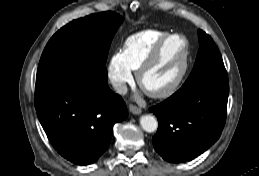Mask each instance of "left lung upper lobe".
Segmentation results:
<instances>
[{
	"label": "left lung upper lobe",
	"mask_w": 259,
	"mask_h": 176,
	"mask_svg": "<svg viewBox=\"0 0 259 176\" xmlns=\"http://www.w3.org/2000/svg\"><path fill=\"white\" fill-rule=\"evenodd\" d=\"M198 37L200 49L193 70L183 86L203 78H216L228 81L221 54L213 39L202 30L198 31Z\"/></svg>",
	"instance_id": "5c2ea615"
}]
</instances>
